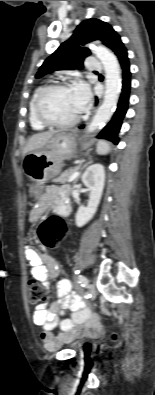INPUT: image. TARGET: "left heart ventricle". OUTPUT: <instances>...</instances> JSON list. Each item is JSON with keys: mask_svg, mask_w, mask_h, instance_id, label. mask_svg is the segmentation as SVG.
<instances>
[{"mask_svg": "<svg viewBox=\"0 0 155 395\" xmlns=\"http://www.w3.org/2000/svg\"><path fill=\"white\" fill-rule=\"evenodd\" d=\"M43 113L51 120L67 122L78 116L72 88L49 93L42 103Z\"/></svg>", "mask_w": 155, "mask_h": 395, "instance_id": "left-heart-ventricle-1", "label": "left heart ventricle"}]
</instances>
